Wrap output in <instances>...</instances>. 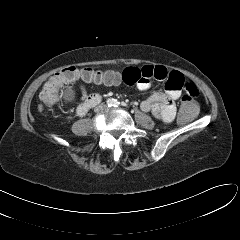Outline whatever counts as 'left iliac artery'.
<instances>
[{"instance_id": "44dca946", "label": "left iliac artery", "mask_w": 240, "mask_h": 240, "mask_svg": "<svg viewBox=\"0 0 240 240\" xmlns=\"http://www.w3.org/2000/svg\"><path fill=\"white\" fill-rule=\"evenodd\" d=\"M120 105H124V103H120L118 100H114V104H113L114 107H118Z\"/></svg>"}]
</instances>
